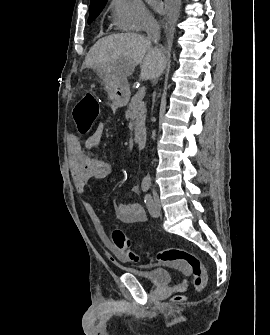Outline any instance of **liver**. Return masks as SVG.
Masks as SVG:
<instances>
[{"mask_svg": "<svg viewBox=\"0 0 270 335\" xmlns=\"http://www.w3.org/2000/svg\"><path fill=\"white\" fill-rule=\"evenodd\" d=\"M142 64L141 76L144 80H156L165 68L162 48H152L150 40L140 34H112L100 38L90 48L83 68L98 70L99 76H108L127 84L135 66Z\"/></svg>", "mask_w": 270, "mask_h": 335, "instance_id": "obj_1", "label": "liver"}]
</instances>
